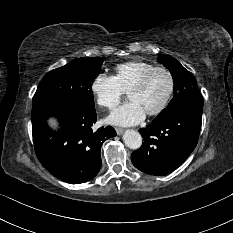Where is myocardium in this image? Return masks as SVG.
Listing matches in <instances>:
<instances>
[{
  "label": "myocardium",
  "mask_w": 233,
  "mask_h": 233,
  "mask_svg": "<svg viewBox=\"0 0 233 233\" xmlns=\"http://www.w3.org/2000/svg\"><path fill=\"white\" fill-rule=\"evenodd\" d=\"M157 72H164L167 74L169 78V89L161 105L155 110L148 112V116H157L161 114L169 105L175 90V79L172 72L166 67H155L151 71L147 72L128 92V94H130L133 92L141 91L146 86L151 77Z\"/></svg>",
  "instance_id": "1"
}]
</instances>
